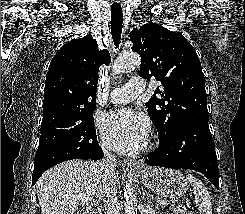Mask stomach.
Masks as SVG:
<instances>
[{"label":"stomach","mask_w":245,"mask_h":214,"mask_svg":"<svg viewBox=\"0 0 245 214\" xmlns=\"http://www.w3.org/2000/svg\"><path fill=\"white\" fill-rule=\"evenodd\" d=\"M142 183L151 191L170 199L182 197L188 191V182L177 170L147 167L138 171Z\"/></svg>","instance_id":"stomach-1"}]
</instances>
